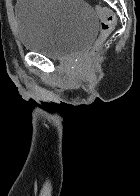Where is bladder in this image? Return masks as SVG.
I'll return each mask as SVG.
<instances>
[{
	"label": "bladder",
	"mask_w": 140,
	"mask_h": 196,
	"mask_svg": "<svg viewBox=\"0 0 140 196\" xmlns=\"http://www.w3.org/2000/svg\"><path fill=\"white\" fill-rule=\"evenodd\" d=\"M14 16L22 47L55 60L84 51L98 32V13L84 0H18Z\"/></svg>",
	"instance_id": "31cf9c89"
}]
</instances>
